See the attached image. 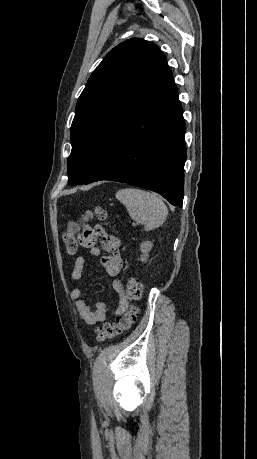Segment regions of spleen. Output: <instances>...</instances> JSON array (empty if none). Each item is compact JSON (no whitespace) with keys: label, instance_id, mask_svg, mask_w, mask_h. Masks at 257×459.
Listing matches in <instances>:
<instances>
[{"label":"spleen","instance_id":"3e777b00","mask_svg":"<svg viewBox=\"0 0 257 459\" xmlns=\"http://www.w3.org/2000/svg\"><path fill=\"white\" fill-rule=\"evenodd\" d=\"M116 198L126 207L134 221L144 225L146 231L161 226L168 215L167 206L155 193L125 188L116 192Z\"/></svg>","mask_w":257,"mask_h":459}]
</instances>
